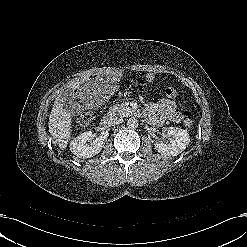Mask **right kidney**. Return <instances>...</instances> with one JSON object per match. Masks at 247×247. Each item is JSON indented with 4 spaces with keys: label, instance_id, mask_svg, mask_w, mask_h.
Returning a JSON list of instances; mask_svg holds the SVG:
<instances>
[{
    "label": "right kidney",
    "instance_id": "ca27d5eb",
    "mask_svg": "<svg viewBox=\"0 0 247 247\" xmlns=\"http://www.w3.org/2000/svg\"><path fill=\"white\" fill-rule=\"evenodd\" d=\"M92 131H86L70 142L71 152L79 158H91L100 153L107 140L106 136H99L94 139Z\"/></svg>",
    "mask_w": 247,
    "mask_h": 247
}]
</instances>
